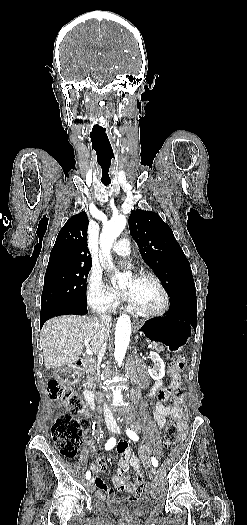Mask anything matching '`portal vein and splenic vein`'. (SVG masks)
I'll use <instances>...</instances> for the list:
<instances>
[{
  "mask_svg": "<svg viewBox=\"0 0 247 525\" xmlns=\"http://www.w3.org/2000/svg\"><path fill=\"white\" fill-rule=\"evenodd\" d=\"M148 348H153L152 343H148ZM86 353L87 355H93L92 351H90L89 347H86Z\"/></svg>",
  "mask_w": 247,
  "mask_h": 525,
  "instance_id": "1",
  "label": "portal vein and splenic vein"
}]
</instances>
